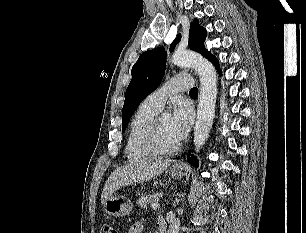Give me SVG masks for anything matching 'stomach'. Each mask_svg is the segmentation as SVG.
<instances>
[{
	"label": "stomach",
	"instance_id": "1",
	"mask_svg": "<svg viewBox=\"0 0 306 233\" xmlns=\"http://www.w3.org/2000/svg\"><path fill=\"white\" fill-rule=\"evenodd\" d=\"M170 176L173 178H181L184 173L182 169L171 168L169 170ZM104 211L113 217H120L129 215L132 211V202L124 196L111 195L103 204Z\"/></svg>",
	"mask_w": 306,
	"mask_h": 233
}]
</instances>
